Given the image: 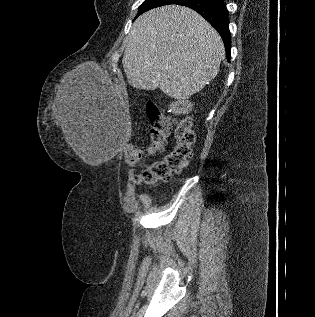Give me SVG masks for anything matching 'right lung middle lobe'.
<instances>
[{
  "label": "right lung middle lobe",
  "instance_id": "dd1d6c3e",
  "mask_svg": "<svg viewBox=\"0 0 315 317\" xmlns=\"http://www.w3.org/2000/svg\"><path fill=\"white\" fill-rule=\"evenodd\" d=\"M179 0H145L140 6H139V11L138 15L141 13L148 11L152 8L163 6V5H169V4H174ZM137 15V16H138Z\"/></svg>",
  "mask_w": 315,
  "mask_h": 317
}]
</instances>
